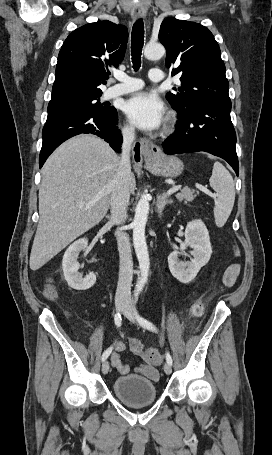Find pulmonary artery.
<instances>
[{
  "label": "pulmonary artery",
  "instance_id": "pulmonary-artery-1",
  "mask_svg": "<svg viewBox=\"0 0 272 455\" xmlns=\"http://www.w3.org/2000/svg\"><path fill=\"white\" fill-rule=\"evenodd\" d=\"M116 78L120 83L109 87L105 93V99H111L120 95H124L130 92H134L142 88L143 83L137 78H133L124 74L117 75ZM149 78L152 82H161L164 79V74L160 69L153 68L149 72Z\"/></svg>",
  "mask_w": 272,
  "mask_h": 455
}]
</instances>
